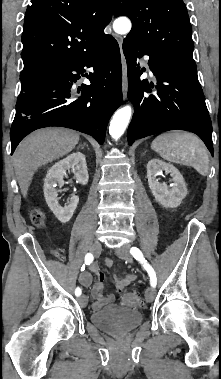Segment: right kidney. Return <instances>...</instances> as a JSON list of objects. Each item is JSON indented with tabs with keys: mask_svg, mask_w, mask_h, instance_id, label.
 Segmentation results:
<instances>
[{
	"mask_svg": "<svg viewBox=\"0 0 221 379\" xmlns=\"http://www.w3.org/2000/svg\"><path fill=\"white\" fill-rule=\"evenodd\" d=\"M67 170H71L74 173L79 184H87L89 176L85 155L81 152L70 154L55 163L48 170L45 177L43 189L45 200L56 218L62 223L70 221L79 203V197L75 195L70 197L67 206L62 207L58 202L56 187H61L64 184Z\"/></svg>",
	"mask_w": 221,
	"mask_h": 379,
	"instance_id": "obj_1",
	"label": "right kidney"
}]
</instances>
